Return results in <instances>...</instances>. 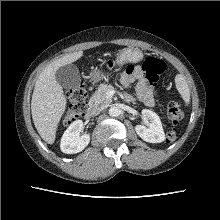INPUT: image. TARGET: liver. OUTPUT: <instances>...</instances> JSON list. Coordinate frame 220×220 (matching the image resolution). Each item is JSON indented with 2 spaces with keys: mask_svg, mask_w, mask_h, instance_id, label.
<instances>
[{
  "mask_svg": "<svg viewBox=\"0 0 220 220\" xmlns=\"http://www.w3.org/2000/svg\"><path fill=\"white\" fill-rule=\"evenodd\" d=\"M82 56L83 51H78L53 61L40 73L35 83L31 100L32 119L38 133L48 144L55 141L56 129L67 104L55 73L59 67L71 64Z\"/></svg>",
  "mask_w": 220,
  "mask_h": 220,
  "instance_id": "6515ba94",
  "label": "liver"
}]
</instances>
